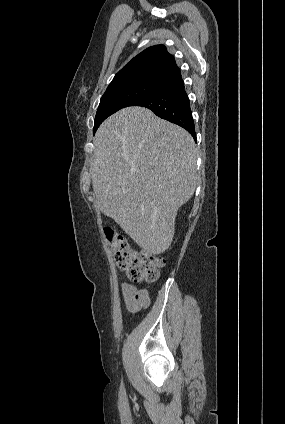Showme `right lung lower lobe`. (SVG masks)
<instances>
[{
  "instance_id": "1",
  "label": "right lung lower lobe",
  "mask_w": 285,
  "mask_h": 424,
  "mask_svg": "<svg viewBox=\"0 0 285 424\" xmlns=\"http://www.w3.org/2000/svg\"><path fill=\"white\" fill-rule=\"evenodd\" d=\"M129 106L150 109L160 118L186 129L196 141L190 102L181 76L165 83L155 92L133 101Z\"/></svg>"
}]
</instances>
